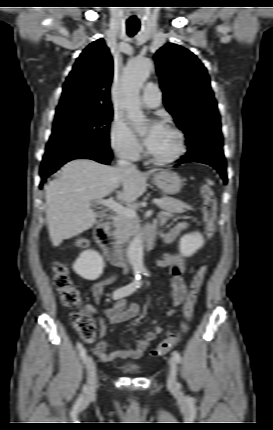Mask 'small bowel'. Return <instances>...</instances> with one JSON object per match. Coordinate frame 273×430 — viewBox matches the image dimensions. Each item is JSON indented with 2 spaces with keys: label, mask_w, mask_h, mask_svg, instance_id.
<instances>
[{
  "label": "small bowel",
  "mask_w": 273,
  "mask_h": 430,
  "mask_svg": "<svg viewBox=\"0 0 273 430\" xmlns=\"http://www.w3.org/2000/svg\"><path fill=\"white\" fill-rule=\"evenodd\" d=\"M168 214L162 215V220H166ZM186 223H180L172 230L163 233L162 238L165 243L173 242L177 236L186 228ZM156 265L161 268H167L171 275L170 288H171V299L173 306H179L186 295V285L183 280V272L185 269L184 260L180 255L166 253L162 258L156 259ZM116 279V275L107 276L92 287V294L96 300H100L104 287L113 282ZM140 307L134 303H127L124 299H117L110 307L105 309V314L109 321L113 324L122 323L136 318L140 314ZM175 311L170 309L167 311L168 316H173ZM100 336L102 338L106 335V327L103 321L100 322ZM163 333V328L155 326L153 330L144 332L135 338V344H130L125 341V348L115 349L113 351L108 350V342L101 339L95 346L96 356L103 362H109L114 359L120 358H132L138 359L142 357L145 351L150 346L151 342L155 340L156 336Z\"/></svg>",
  "instance_id": "1"
}]
</instances>
